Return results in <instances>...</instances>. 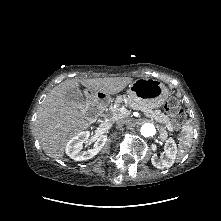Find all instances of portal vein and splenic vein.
I'll use <instances>...</instances> for the list:
<instances>
[{
	"mask_svg": "<svg viewBox=\"0 0 221 221\" xmlns=\"http://www.w3.org/2000/svg\"><path fill=\"white\" fill-rule=\"evenodd\" d=\"M120 112L125 114L127 112V110H126V108L122 107V108H120Z\"/></svg>",
	"mask_w": 221,
	"mask_h": 221,
	"instance_id": "1",
	"label": "portal vein and splenic vein"
}]
</instances>
